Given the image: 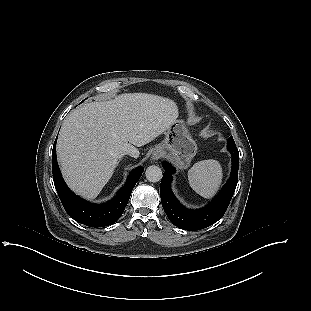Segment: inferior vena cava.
Listing matches in <instances>:
<instances>
[{
  "instance_id": "inferior-vena-cava-1",
  "label": "inferior vena cava",
  "mask_w": 311,
  "mask_h": 311,
  "mask_svg": "<svg viewBox=\"0 0 311 311\" xmlns=\"http://www.w3.org/2000/svg\"><path fill=\"white\" fill-rule=\"evenodd\" d=\"M124 155L125 156H132V155H135L137 153V148L135 146H128V147H125L124 148Z\"/></svg>"
}]
</instances>
